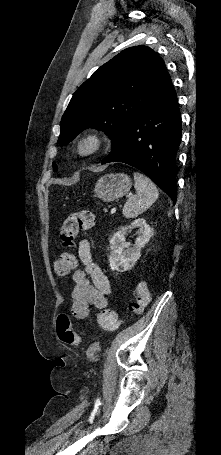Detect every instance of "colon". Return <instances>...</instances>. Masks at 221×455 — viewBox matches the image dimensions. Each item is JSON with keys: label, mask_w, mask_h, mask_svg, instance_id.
Instances as JSON below:
<instances>
[{"label": "colon", "mask_w": 221, "mask_h": 455, "mask_svg": "<svg viewBox=\"0 0 221 455\" xmlns=\"http://www.w3.org/2000/svg\"><path fill=\"white\" fill-rule=\"evenodd\" d=\"M95 217L90 211H79L70 215L62 224L61 241L68 249L55 261L54 269L58 275L70 274L76 267V257L70 249L75 246V240L79 232L91 229L94 226ZM151 295L147 286L143 283L137 285L133 293V299L128 304V312L139 314L149 304ZM99 325L106 331H115L122 324V318L113 310H103L97 315ZM56 330L59 338L66 344L75 345L79 337L72 328V322L66 314L58 316Z\"/></svg>", "instance_id": "1"}]
</instances>
